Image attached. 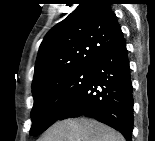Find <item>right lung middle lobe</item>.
I'll return each instance as SVG.
<instances>
[{
  "label": "right lung middle lobe",
  "mask_w": 155,
  "mask_h": 141,
  "mask_svg": "<svg viewBox=\"0 0 155 141\" xmlns=\"http://www.w3.org/2000/svg\"><path fill=\"white\" fill-rule=\"evenodd\" d=\"M93 67L76 68L49 77L32 88L30 135L36 136L59 120L63 111L79 96L88 83Z\"/></svg>",
  "instance_id": "right-lung-middle-lobe-1"
}]
</instances>
